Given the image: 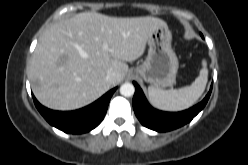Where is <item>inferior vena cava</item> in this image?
Returning <instances> with one entry per match:
<instances>
[{"instance_id":"602c4592","label":"inferior vena cava","mask_w":248,"mask_h":165,"mask_svg":"<svg viewBox=\"0 0 248 165\" xmlns=\"http://www.w3.org/2000/svg\"><path fill=\"white\" fill-rule=\"evenodd\" d=\"M115 78H116V73L113 71L108 72L105 77L108 83H113L115 81Z\"/></svg>"}]
</instances>
